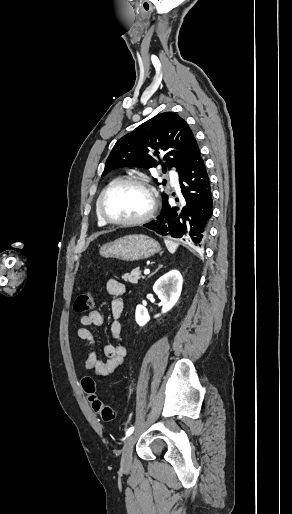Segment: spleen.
<instances>
[{
	"mask_svg": "<svg viewBox=\"0 0 292 514\" xmlns=\"http://www.w3.org/2000/svg\"><path fill=\"white\" fill-rule=\"evenodd\" d=\"M166 248L170 254H174L176 252L179 244H176V242H171V240H165Z\"/></svg>",
	"mask_w": 292,
	"mask_h": 514,
	"instance_id": "1",
	"label": "spleen"
}]
</instances>
